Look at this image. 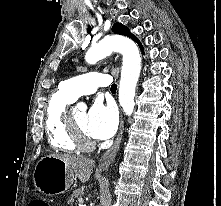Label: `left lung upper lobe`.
<instances>
[{"mask_svg":"<svg viewBox=\"0 0 221 206\" xmlns=\"http://www.w3.org/2000/svg\"><path fill=\"white\" fill-rule=\"evenodd\" d=\"M112 31L114 33L126 35V36L132 38L133 40H135L139 44L141 50H143L142 45L139 42V40L134 35L131 34V32L129 31V29L126 26L122 25L121 23H116L113 25Z\"/></svg>","mask_w":221,"mask_h":206,"instance_id":"1","label":"left lung upper lobe"}]
</instances>
